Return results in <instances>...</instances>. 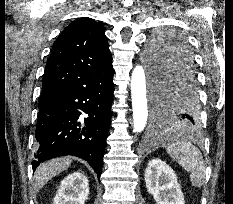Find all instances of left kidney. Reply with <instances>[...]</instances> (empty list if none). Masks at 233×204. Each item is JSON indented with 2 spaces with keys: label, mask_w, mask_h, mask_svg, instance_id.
<instances>
[{
  "label": "left kidney",
  "mask_w": 233,
  "mask_h": 204,
  "mask_svg": "<svg viewBox=\"0 0 233 204\" xmlns=\"http://www.w3.org/2000/svg\"><path fill=\"white\" fill-rule=\"evenodd\" d=\"M147 191L156 204H184V196L176 174L164 161L153 159L145 171Z\"/></svg>",
  "instance_id": "1"
}]
</instances>
